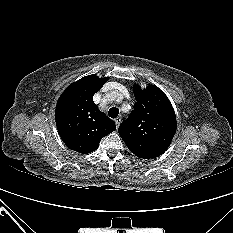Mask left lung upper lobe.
<instances>
[{
  "label": "left lung upper lobe",
  "instance_id": "left-lung-upper-lobe-1",
  "mask_svg": "<svg viewBox=\"0 0 233 233\" xmlns=\"http://www.w3.org/2000/svg\"><path fill=\"white\" fill-rule=\"evenodd\" d=\"M133 92L134 110L119 126V135L137 157L156 158L167 150L176 132L175 112L155 85L144 90L135 85Z\"/></svg>",
  "mask_w": 233,
  "mask_h": 233
}]
</instances>
